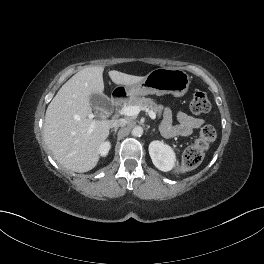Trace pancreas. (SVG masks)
<instances>
[{
  "label": "pancreas",
  "mask_w": 264,
  "mask_h": 264,
  "mask_svg": "<svg viewBox=\"0 0 264 264\" xmlns=\"http://www.w3.org/2000/svg\"><path fill=\"white\" fill-rule=\"evenodd\" d=\"M123 108L127 106H139L140 108H148L155 113H161V106L156 104L153 99L145 97H131L124 101Z\"/></svg>",
  "instance_id": "obj_1"
}]
</instances>
